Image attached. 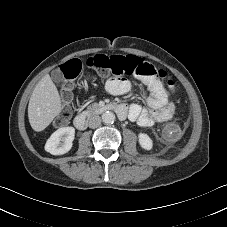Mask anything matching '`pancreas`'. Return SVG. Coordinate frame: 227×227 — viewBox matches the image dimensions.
<instances>
[{
  "label": "pancreas",
  "mask_w": 227,
  "mask_h": 227,
  "mask_svg": "<svg viewBox=\"0 0 227 227\" xmlns=\"http://www.w3.org/2000/svg\"><path fill=\"white\" fill-rule=\"evenodd\" d=\"M99 107H100L99 104L94 103V104H92L91 106H89V109H90L91 111H95V110H97Z\"/></svg>",
  "instance_id": "cf45deb5"
}]
</instances>
